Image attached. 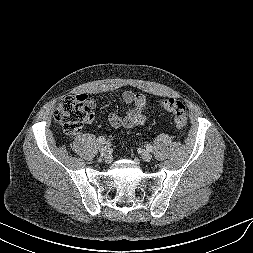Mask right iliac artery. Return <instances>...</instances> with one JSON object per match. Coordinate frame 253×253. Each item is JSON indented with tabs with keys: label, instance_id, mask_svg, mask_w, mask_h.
Masks as SVG:
<instances>
[{
	"label": "right iliac artery",
	"instance_id": "82829eb1",
	"mask_svg": "<svg viewBox=\"0 0 253 253\" xmlns=\"http://www.w3.org/2000/svg\"><path fill=\"white\" fill-rule=\"evenodd\" d=\"M97 140H98L99 143H102V144H103V143H105V140H106V139H105L104 136H100Z\"/></svg>",
	"mask_w": 253,
	"mask_h": 253
}]
</instances>
